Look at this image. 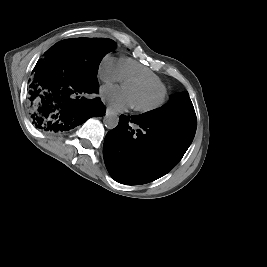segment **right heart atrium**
I'll list each match as a JSON object with an SVG mask.
<instances>
[{
  "label": "right heart atrium",
  "mask_w": 267,
  "mask_h": 267,
  "mask_svg": "<svg viewBox=\"0 0 267 267\" xmlns=\"http://www.w3.org/2000/svg\"><path fill=\"white\" fill-rule=\"evenodd\" d=\"M98 76L105 83L120 82L123 79L120 61L110 55L105 56L100 62Z\"/></svg>",
  "instance_id": "d8ad5b80"
}]
</instances>
